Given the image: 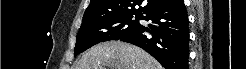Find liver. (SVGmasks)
Listing matches in <instances>:
<instances>
[{
  "label": "liver",
  "instance_id": "liver-1",
  "mask_svg": "<svg viewBox=\"0 0 246 69\" xmlns=\"http://www.w3.org/2000/svg\"><path fill=\"white\" fill-rule=\"evenodd\" d=\"M162 69L147 52L127 43L111 41L97 44L79 60L75 69Z\"/></svg>",
  "mask_w": 246,
  "mask_h": 69
}]
</instances>
